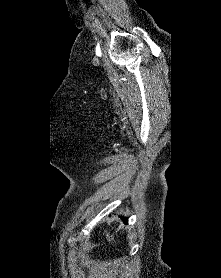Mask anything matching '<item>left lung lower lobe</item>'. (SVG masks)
<instances>
[{"instance_id": "left-lung-lower-lobe-1", "label": "left lung lower lobe", "mask_w": 221, "mask_h": 278, "mask_svg": "<svg viewBox=\"0 0 221 278\" xmlns=\"http://www.w3.org/2000/svg\"><path fill=\"white\" fill-rule=\"evenodd\" d=\"M124 221L127 222V218H124Z\"/></svg>"}]
</instances>
